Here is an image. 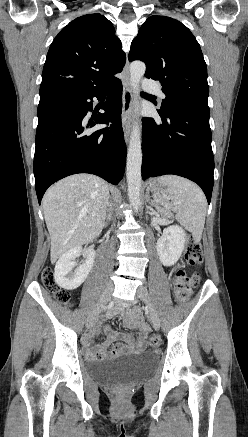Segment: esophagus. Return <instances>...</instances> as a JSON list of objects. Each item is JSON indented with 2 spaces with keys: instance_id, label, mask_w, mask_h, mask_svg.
<instances>
[{
  "instance_id": "34e87169",
  "label": "esophagus",
  "mask_w": 248,
  "mask_h": 437,
  "mask_svg": "<svg viewBox=\"0 0 248 437\" xmlns=\"http://www.w3.org/2000/svg\"><path fill=\"white\" fill-rule=\"evenodd\" d=\"M123 73H124V77L122 79V85H123L122 124H123L124 138L126 143H128L130 139V131H131L130 112L133 102V93L131 88L128 60H126Z\"/></svg>"
}]
</instances>
